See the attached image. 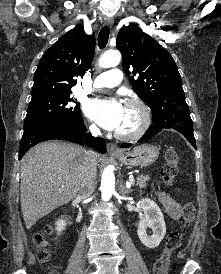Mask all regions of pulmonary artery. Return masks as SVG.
<instances>
[{
  "label": "pulmonary artery",
  "instance_id": "e3ab8cb5",
  "mask_svg": "<svg viewBox=\"0 0 221 274\" xmlns=\"http://www.w3.org/2000/svg\"><path fill=\"white\" fill-rule=\"evenodd\" d=\"M122 81V73L119 69H111L98 75L93 86L95 88H112L119 85Z\"/></svg>",
  "mask_w": 221,
  "mask_h": 274
}]
</instances>
